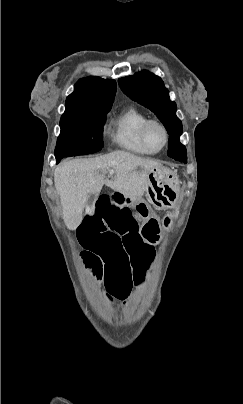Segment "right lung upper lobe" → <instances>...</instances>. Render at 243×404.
I'll return each mask as SVG.
<instances>
[{"label": "right lung upper lobe", "mask_w": 243, "mask_h": 404, "mask_svg": "<svg viewBox=\"0 0 243 404\" xmlns=\"http://www.w3.org/2000/svg\"><path fill=\"white\" fill-rule=\"evenodd\" d=\"M116 93V82L100 77L80 79L65 103V112L97 111L111 107Z\"/></svg>", "instance_id": "cb5924a9"}]
</instances>
